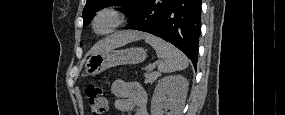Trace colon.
I'll list each match as a JSON object with an SVG mask.
<instances>
[{"label": "colon", "mask_w": 285, "mask_h": 115, "mask_svg": "<svg viewBox=\"0 0 285 115\" xmlns=\"http://www.w3.org/2000/svg\"><path fill=\"white\" fill-rule=\"evenodd\" d=\"M86 96L92 115H103L107 110V100L100 85L91 83L86 87Z\"/></svg>", "instance_id": "1"}]
</instances>
